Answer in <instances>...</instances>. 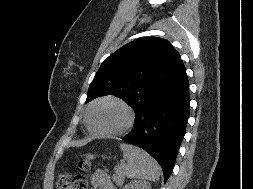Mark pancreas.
Returning a JSON list of instances; mask_svg holds the SVG:
<instances>
[{
	"label": "pancreas",
	"mask_w": 253,
	"mask_h": 189,
	"mask_svg": "<svg viewBox=\"0 0 253 189\" xmlns=\"http://www.w3.org/2000/svg\"><path fill=\"white\" fill-rule=\"evenodd\" d=\"M112 179L117 186H122L125 180V172L122 169H116Z\"/></svg>",
	"instance_id": "pancreas-1"
}]
</instances>
